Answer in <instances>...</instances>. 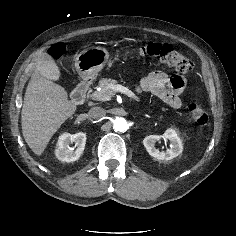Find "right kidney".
Instances as JSON below:
<instances>
[{"mask_svg": "<svg viewBox=\"0 0 236 236\" xmlns=\"http://www.w3.org/2000/svg\"><path fill=\"white\" fill-rule=\"evenodd\" d=\"M75 143V147L70 144ZM86 144V134L79 132L76 134L63 133L59 136L55 149L56 157L62 162H73L82 155Z\"/></svg>", "mask_w": 236, "mask_h": 236, "instance_id": "right-kidney-1", "label": "right kidney"}]
</instances>
